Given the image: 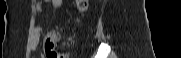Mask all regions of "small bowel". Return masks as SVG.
Returning <instances> with one entry per match:
<instances>
[{
    "label": "small bowel",
    "instance_id": "obj_1",
    "mask_svg": "<svg viewBox=\"0 0 181 58\" xmlns=\"http://www.w3.org/2000/svg\"><path fill=\"white\" fill-rule=\"evenodd\" d=\"M63 2H64L63 0H51V4L54 8H60L63 5ZM43 6H44V1H42V0L36 1L35 8H36V12L38 14H40L42 12ZM40 34H41V28H40V26H36L34 29V39L32 42V47L34 49L38 46ZM49 37L53 38L55 40L56 34L55 33H49L46 36V38H49Z\"/></svg>",
    "mask_w": 181,
    "mask_h": 58
}]
</instances>
